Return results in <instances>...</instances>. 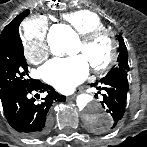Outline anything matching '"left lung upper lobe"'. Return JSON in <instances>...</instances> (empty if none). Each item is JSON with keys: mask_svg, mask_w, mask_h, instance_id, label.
Here are the masks:
<instances>
[{"mask_svg": "<svg viewBox=\"0 0 147 147\" xmlns=\"http://www.w3.org/2000/svg\"><path fill=\"white\" fill-rule=\"evenodd\" d=\"M118 41L120 43V47H119V56H118V64L116 66H114L111 71L108 72V74L104 77H110L113 75H116L120 72H128L129 71V65H128V54H127V49L124 43V40L122 38L121 35L117 36Z\"/></svg>", "mask_w": 147, "mask_h": 147, "instance_id": "1", "label": "left lung upper lobe"}]
</instances>
